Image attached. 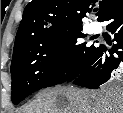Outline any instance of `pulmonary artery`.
<instances>
[{"label":"pulmonary artery","instance_id":"obj_1","mask_svg":"<svg viewBox=\"0 0 123 113\" xmlns=\"http://www.w3.org/2000/svg\"><path fill=\"white\" fill-rule=\"evenodd\" d=\"M90 29L94 33H98L100 31V25L96 22L90 24Z\"/></svg>","mask_w":123,"mask_h":113}]
</instances>
